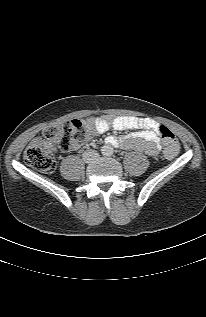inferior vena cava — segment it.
Returning <instances> with one entry per match:
<instances>
[{
  "mask_svg": "<svg viewBox=\"0 0 206 317\" xmlns=\"http://www.w3.org/2000/svg\"><path fill=\"white\" fill-rule=\"evenodd\" d=\"M98 156H99V154L97 152H95V151L85 152L83 154V157H84L85 160H91V159H94V158H96Z\"/></svg>",
  "mask_w": 206,
  "mask_h": 317,
  "instance_id": "inferior-vena-cava-1",
  "label": "inferior vena cava"
}]
</instances>
